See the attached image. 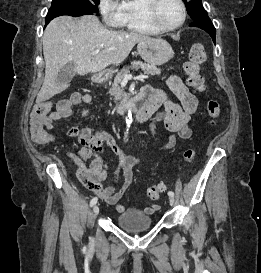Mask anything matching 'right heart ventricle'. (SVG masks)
Here are the masks:
<instances>
[{"instance_id":"1","label":"right heart ventricle","mask_w":261,"mask_h":273,"mask_svg":"<svg viewBox=\"0 0 261 273\" xmlns=\"http://www.w3.org/2000/svg\"><path fill=\"white\" fill-rule=\"evenodd\" d=\"M149 0H120L118 26L129 32L139 34H158L147 18Z\"/></svg>"}]
</instances>
